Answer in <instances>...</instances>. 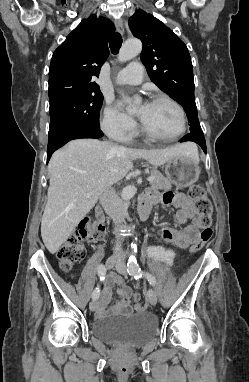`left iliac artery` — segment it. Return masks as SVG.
Here are the masks:
<instances>
[{
    "mask_svg": "<svg viewBox=\"0 0 249 382\" xmlns=\"http://www.w3.org/2000/svg\"><path fill=\"white\" fill-rule=\"evenodd\" d=\"M127 271L135 279H139L142 276H145L148 282L150 283V285L155 286L156 284L155 277L152 274L141 271V268L139 267L135 256H130L127 263Z\"/></svg>",
    "mask_w": 249,
    "mask_h": 382,
    "instance_id": "44dca946",
    "label": "left iliac artery"
}]
</instances>
